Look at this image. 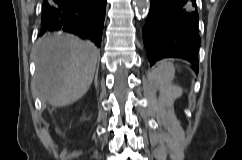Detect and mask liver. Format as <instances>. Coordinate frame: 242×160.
<instances>
[{"mask_svg": "<svg viewBox=\"0 0 242 160\" xmlns=\"http://www.w3.org/2000/svg\"><path fill=\"white\" fill-rule=\"evenodd\" d=\"M99 55L93 43L70 34L40 39L34 92L54 107L74 103L90 88Z\"/></svg>", "mask_w": 242, "mask_h": 160, "instance_id": "obj_1", "label": "liver"}]
</instances>
